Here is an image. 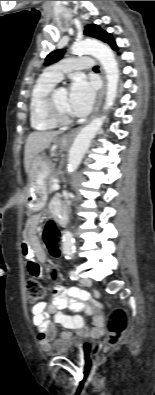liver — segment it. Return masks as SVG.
I'll return each instance as SVG.
<instances>
[{"instance_id":"obj_1","label":"liver","mask_w":155,"mask_h":395,"mask_svg":"<svg viewBox=\"0 0 155 395\" xmlns=\"http://www.w3.org/2000/svg\"><path fill=\"white\" fill-rule=\"evenodd\" d=\"M59 131L32 132L25 144L24 166L27 174L30 173L31 164L36 156L47 149L54 138L59 135Z\"/></svg>"}]
</instances>
